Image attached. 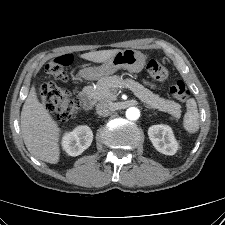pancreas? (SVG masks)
I'll return each mask as SVG.
<instances>
[{"label": "pancreas", "mask_w": 225, "mask_h": 225, "mask_svg": "<svg viewBox=\"0 0 225 225\" xmlns=\"http://www.w3.org/2000/svg\"><path fill=\"white\" fill-rule=\"evenodd\" d=\"M123 87L130 89L137 98L149 107L167 112L175 118H180V104L159 97L132 79H123L117 75L103 77L98 80L95 86L85 87L84 92L95 101L103 99L116 100L118 90Z\"/></svg>", "instance_id": "pancreas-1"}]
</instances>
